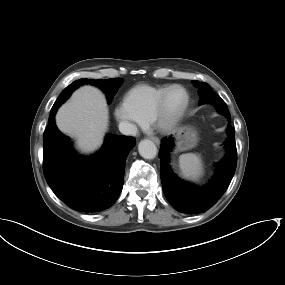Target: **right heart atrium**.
<instances>
[{"label":"right heart atrium","mask_w":285,"mask_h":285,"mask_svg":"<svg viewBox=\"0 0 285 285\" xmlns=\"http://www.w3.org/2000/svg\"><path fill=\"white\" fill-rule=\"evenodd\" d=\"M113 115L120 130L124 133L134 132L139 124L138 119L125 102H121L114 108Z\"/></svg>","instance_id":"obj_1"}]
</instances>
